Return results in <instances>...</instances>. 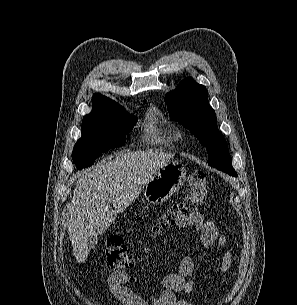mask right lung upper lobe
Segmentation results:
<instances>
[{
  "label": "right lung upper lobe",
  "instance_id": "obj_1",
  "mask_svg": "<svg viewBox=\"0 0 297 305\" xmlns=\"http://www.w3.org/2000/svg\"><path fill=\"white\" fill-rule=\"evenodd\" d=\"M92 104L93 111H105L115 106H118L116 102L98 93L94 94L92 98Z\"/></svg>",
  "mask_w": 297,
  "mask_h": 305
}]
</instances>
